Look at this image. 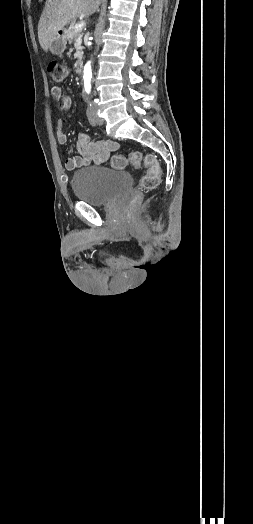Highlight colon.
<instances>
[{
	"mask_svg": "<svg viewBox=\"0 0 253 524\" xmlns=\"http://www.w3.org/2000/svg\"><path fill=\"white\" fill-rule=\"evenodd\" d=\"M48 72L54 82L61 83L69 74V68L64 64L51 62L48 65ZM127 165L135 169L141 167V165H144L146 168V172L139 183L140 189L152 190L158 186L162 177V169L154 156L148 155L143 158L140 152L132 151L127 155H116L111 159V166L115 169H122ZM140 199L141 193L136 192L133 194L130 204L135 205Z\"/></svg>",
	"mask_w": 253,
	"mask_h": 524,
	"instance_id": "obj_1",
	"label": "colon"
}]
</instances>
